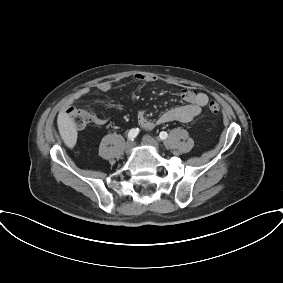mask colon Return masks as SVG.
<instances>
[{
  "label": "colon",
  "instance_id": "colon-1",
  "mask_svg": "<svg viewBox=\"0 0 283 283\" xmlns=\"http://www.w3.org/2000/svg\"><path fill=\"white\" fill-rule=\"evenodd\" d=\"M208 110L211 114L216 115L220 107L215 100H210ZM65 116L79 130L86 128L92 121V114L88 110L76 106L69 107Z\"/></svg>",
  "mask_w": 283,
  "mask_h": 283
}]
</instances>
